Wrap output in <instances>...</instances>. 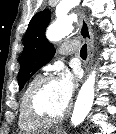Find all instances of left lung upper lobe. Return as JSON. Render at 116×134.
<instances>
[{
    "mask_svg": "<svg viewBox=\"0 0 116 134\" xmlns=\"http://www.w3.org/2000/svg\"><path fill=\"white\" fill-rule=\"evenodd\" d=\"M50 17V10L45 9L37 13L28 25L18 74L20 90L38 69L52 59L55 53L53 45L45 37Z\"/></svg>",
    "mask_w": 116,
    "mask_h": 134,
    "instance_id": "left-lung-upper-lobe-1",
    "label": "left lung upper lobe"
}]
</instances>
